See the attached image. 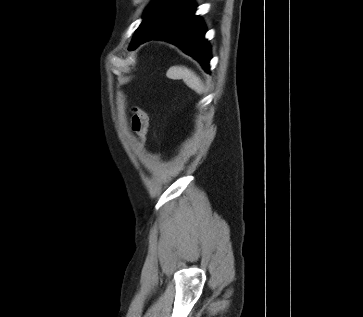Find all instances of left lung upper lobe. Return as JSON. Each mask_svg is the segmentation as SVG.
<instances>
[{
    "label": "left lung upper lobe",
    "instance_id": "obj_1",
    "mask_svg": "<svg viewBox=\"0 0 363 317\" xmlns=\"http://www.w3.org/2000/svg\"><path fill=\"white\" fill-rule=\"evenodd\" d=\"M158 1L153 2L150 6H148V8L145 11V16H144V20L142 21L141 25L138 27V29L136 30V33L133 37L131 46L133 44H135L144 34V32L146 31L150 21H151V16H152V12L154 11L156 5H157Z\"/></svg>",
    "mask_w": 363,
    "mask_h": 317
}]
</instances>
